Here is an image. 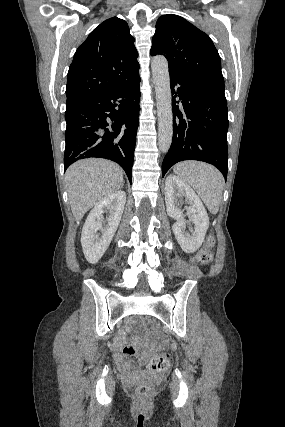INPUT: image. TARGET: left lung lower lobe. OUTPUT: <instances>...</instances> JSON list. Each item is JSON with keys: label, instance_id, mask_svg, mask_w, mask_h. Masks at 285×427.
<instances>
[{"label": "left lung lower lobe", "instance_id": "1", "mask_svg": "<svg viewBox=\"0 0 285 427\" xmlns=\"http://www.w3.org/2000/svg\"><path fill=\"white\" fill-rule=\"evenodd\" d=\"M170 86L182 108L173 99V138L162 163V177L177 162L199 160L213 164L226 180L228 111L224 91L174 77H170Z\"/></svg>", "mask_w": 285, "mask_h": 427}]
</instances>
